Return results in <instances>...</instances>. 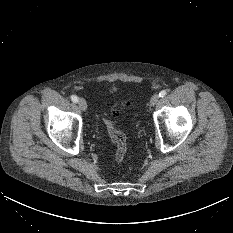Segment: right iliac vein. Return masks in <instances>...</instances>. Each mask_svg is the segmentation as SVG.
<instances>
[{
    "mask_svg": "<svg viewBox=\"0 0 233 233\" xmlns=\"http://www.w3.org/2000/svg\"><path fill=\"white\" fill-rule=\"evenodd\" d=\"M78 106L82 111H86L87 109V103L84 98H79L78 99Z\"/></svg>",
    "mask_w": 233,
    "mask_h": 233,
    "instance_id": "right-iliac-vein-1",
    "label": "right iliac vein"
}]
</instances>
